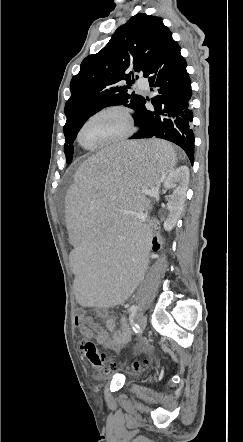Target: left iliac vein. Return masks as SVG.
<instances>
[{
  "mask_svg": "<svg viewBox=\"0 0 243 442\" xmlns=\"http://www.w3.org/2000/svg\"><path fill=\"white\" fill-rule=\"evenodd\" d=\"M137 323L139 326V333H143L147 326V318L144 314H140Z\"/></svg>",
  "mask_w": 243,
  "mask_h": 442,
  "instance_id": "obj_1",
  "label": "left iliac vein"
}]
</instances>
